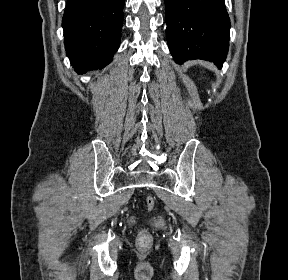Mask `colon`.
Here are the masks:
<instances>
[{
  "instance_id": "obj_1",
  "label": "colon",
  "mask_w": 288,
  "mask_h": 280,
  "mask_svg": "<svg viewBox=\"0 0 288 280\" xmlns=\"http://www.w3.org/2000/svg\"><path fill=\"white\" fill-rule=\"evenodd\" d=\"M145 204H146L147 210L151 211L154 209L156 201L154 197L148 196L145 200ZM151 241H152V237L147 230L143 229L139 232L137 242L141 248L148 247L151 244Z\"/></svg>"
}]
</instances>
